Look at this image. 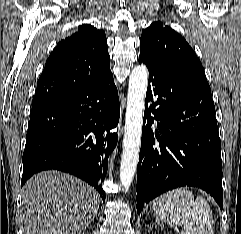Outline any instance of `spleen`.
Instances as JSON below:
<instances>
[{"label": "spleen", "instance_id": "1", "mask_svg": "<svg viewBox=\"0 0 241 234\" xmlns=\"http://www.w3.org/2000/svg\"><path fill=\"white\" fill-rule=\"evenodd\" d=\"M157 219L183 227L184 234H214L212 211L208 202L185 187L168 191L153 202Z\"/></svg>", "mask_w": 241, "mask_h": 234}]
</instances>
